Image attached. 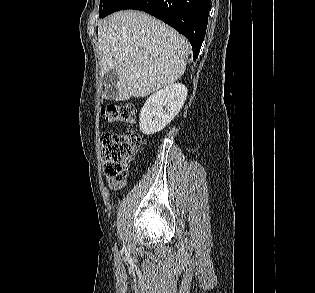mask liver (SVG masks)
<instances>
[{
  "label": "liver",
  "mask_w": 315,
  "mask_h": 293,
  "mask_svg": "<svg viewBox=\"0 0 315 293\" xmlns=\"http://www.w3.org/2000/svg\"><path fill=\"white\" fill-rule=\"evenodd\" d=\"M98 45L101 74L117 71L118 101L144 97L175 83L190 53L188 40L172 27L132 10L114 13L99 24Z\"/></svg>",
  "instance_id": "6515ba94"
}]
</instances>
